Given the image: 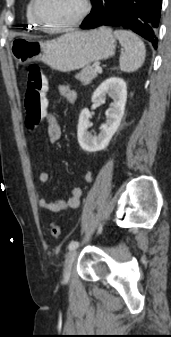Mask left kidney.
Returning a JSON list of instances; mask_svg holds the SVG:
<instances>
[{
	"instance_id": "5707ae66",
	"label": "left kidney",
	"mask_w": 171,
	"mask_h": 337,
	"mask_svg": "<svg viewBox=\"0 0 171 337\" xmlns=\"http://www.w3.org/2000/svg\"><path fill=\"white\" fill-rule=\"evenodd\" d=\"M113 99V103L106 110V123L100 127L98 136H93L88 132L90 126V111L83 109L79 116L77 136L81 148L87 152H96L105 149L112 136L117 131L122 117L124 115L125 104L127 100V87L123 79L111 77L105 80L95 90L92 95V102L101 103L105 95Z\"/></svg>"
}]
</instances>
